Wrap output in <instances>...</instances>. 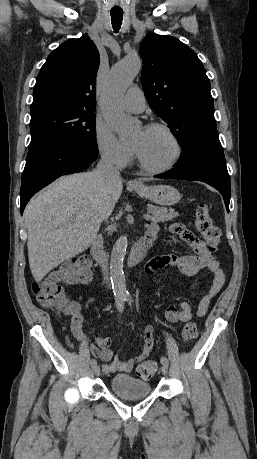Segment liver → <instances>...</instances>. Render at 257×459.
I'll list each match as a JSON object with an SVG mask.
<instances>
[{"label": "liver", "mask_w": 257, "mask_h": 459, "mask_svg": "<svg viewBox=\"0 0 257 459\" xmlns=\"http://www.w3.org/2000/svg\"><path fill=\"white\" fill-rule=\"evenodd\" d=\"M122 180L100 183L94 171L63 176L25 208L28 258L40 282L53 268L85 251L113 212Z\"/></svg>", "instance_id": "1"}]
</instances>
